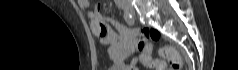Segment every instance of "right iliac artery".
<instances>
[{"label":"right iliac artery","instance_id":"obj_1","mask_svg":"<svg viewBox=\"0 0 238 70\" xmlns=\"http://www.w3.org/2000/svg\"><path fill=\"white\" fill-rule=\"evenodd\" d=\"M124 19L127 22V24H129V25H133L134 24V18L127 11L124 12Z\"/></svg>","mask_w":238,"mask_h":70}]
</instances>
